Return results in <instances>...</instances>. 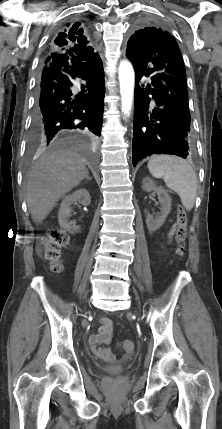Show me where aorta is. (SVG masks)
<instances>
[{
    "mask_svg": "<svg viewBox=\"0 0 222 429\" xmlns=\"http://www.w3.org/2000/svg\"><path fill=\"white\" fill-rule=\"evenodd\" d=\"M119 82L121 94L122 112L129 116L135 85V73L132 64L129 61H121L119 64Z\"/></svg>",
    "mask_w": 222,
    "mask_h": 429,
    "instance_id": "1",
    "label": "aorta"
}]
</instances>
